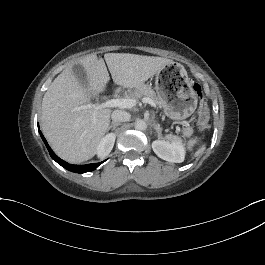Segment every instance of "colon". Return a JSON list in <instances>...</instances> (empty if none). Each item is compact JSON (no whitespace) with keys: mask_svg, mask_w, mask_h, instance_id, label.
Instances as JSON below:
<instances>
[{"mask_svg":"<svg viewBox=\"0 0 265 265\" xmlns=\"http://www.w3.org/2000/svg\"><path fill=\"white\" fill-rule=\"evenodd\" d=\"M194 90L199 99V106L197 109V122L200 130L205 132L209 128V117H208V107L204 99L202 89L199 84L194 85Z\"/></svg>","mask_w":265,"mask_h":265,"instance_id":"colon-1","label":"colon"}]
</instances>
